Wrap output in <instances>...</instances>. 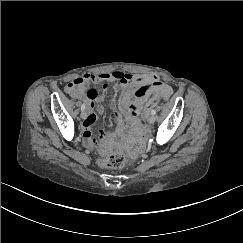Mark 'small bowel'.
<instances>
[{"label":"small bowel","instance_id":"c3829d8e","mask_svg":"<svg viewBox=\"0 0 243 243\" xmlns=\"http://www.w3.org/2000/svg\"><path fill=\"white\" fill-rule=\"evenodd\" d=\"M113 81H118L114 86L115 93L121 89L125 90L120 101L122 111L116 112V117L120 122L126 120L134 125L137 123L135 116L149 112L161 99L168 98L172 93L171 88L161 82L158 75L154 73L138 75L113 71L100 74L85 73L73 78L66 85V92L74 98L87 100L89 104V111L81 125L87 146L95 143L93 126L96 122V114L94 111H102L100 105H95V102L99 101L98 92L95 89L87 90L88 85L104 83V88H107V84ZM112 107H115L114 101Z\"/></svg>","mask_w":243,"mask_h":243}]
</instances>
